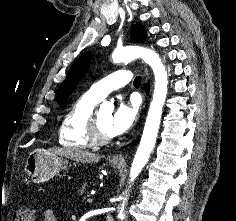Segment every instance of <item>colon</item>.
I'll return each instance as SVG.
<instances>
[{
    "label": "colon",
    "instance_id": "1",
    "mask_svg": "<svg viewBox=\"0 0 236 221\" xmlns=\"http://www.w3.org/2000/svg\"><path fill=\"white\" fill-rule=\"evenodd\" d=\"M13 221H34V212L27 206H21L15 211Z\"/></svg>",
    "mask_w": 236,
    "mask_h": 221
}]
</instances>
